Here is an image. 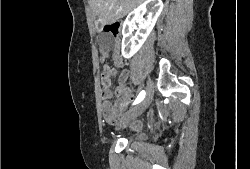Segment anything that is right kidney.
<instances>
[{"mask_svg":"<svg viewBox=\"0 0 250 169\" xmlns=\"http://www.w3.org/2000/svg\"><path fill=\"white\" fill-rule=\"evenodd\" d=\"M147 8H150V10H147ZM162 10V0H144L143 4H139L128 14L122 28L121 50L124 58H131L141 48ZM131 14H133L132 18ZM143 14H146V16H143ZM135 22H139V24L135 36H132V30L136 26Z\"/></svg>","mask_w":250,"mask_h":169,"instance_id":"obj_1","label":"right kidney"}]
</instances>
